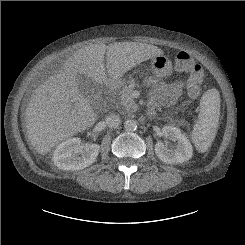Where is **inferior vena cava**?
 I'll return each mask as SVG.
<instances>
[{"label": "inferior vena cava", "mask_w": 245, "mask_h": 245, "mask_svg": "<svg viewBox=\"0 0 245 245\" xmlns=\"http://www.w3.org/2000/svg\"><path fill=\"white\" fill-rule=\"evenodd\" d=\"M106 123L110 128H116L120 125L121 119L118 115L112 114L106 117Z\"/></svg>", "instance_id": "602c4592"}]
</instances>
